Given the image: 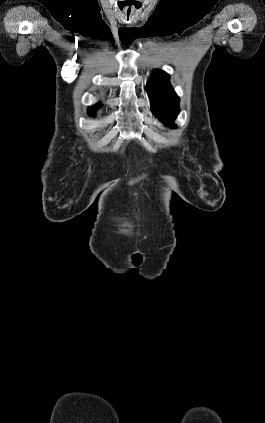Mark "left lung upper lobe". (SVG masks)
Wrapping results in <instances>:
<instances>
[{"instance_id":"left-lung-upper-lobe-1","label":"left lung upper lobe","mask_w":265,"mask_h":423,"mask_svg":"<svg viewBox=\"0 0 265 423\" xmlns=\"http://www.w3.org/2000/svg\"><path fill=\"white\" fill-rule=\"evenodd\" d=\"M151 100V111L162 122L175 128L173 124L180 112V99L172 89L169 75L161 70H154L146 85Z\"/></svg>"}]
</instances>
